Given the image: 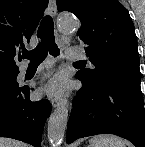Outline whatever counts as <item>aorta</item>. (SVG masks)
<instances>
[{
	"label": "aorta",
	"mask_w": 145,
	"mask_h": 147,
	"mask_svg": "<svg viewBox=\"0 0 145 147\" xmlns=\"http://www.w3.org/2000/svg\"><path fill=\"white\" fill-rule=\"evenodd\" d=\"M58 27L61 32L69 33L78 27V22L71 15H63L58 20ZM68 118L69 112L65 104L60 105L51 114L47 129L51 147H60L63 142Z\"/></svg>",
	"instance_id": "1"
}]
</instances>
